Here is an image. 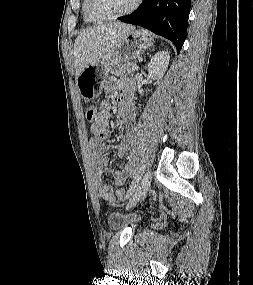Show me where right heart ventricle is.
Listing matches in <instances>:
<instances>
[{
	"mask_svg": "<svg viewBox=\"0 0 253 285\" xmlns=\"http://www.w3.org/2000/svg\"><path fill=\"white\" fill-rule=\"evenodd\" d=\"M82 13H83V19H84L85 22H87V23L95 22L94 20H92V19L88 16V14H87V12H86V9H85V0H84L83 5H82Z\"/></svg>",
	"mask_w": 253,
	"mask_h": 285,
	"instance_id": "e07e8e85",
	"label": "right heart ventricle"
}]
</instances>
